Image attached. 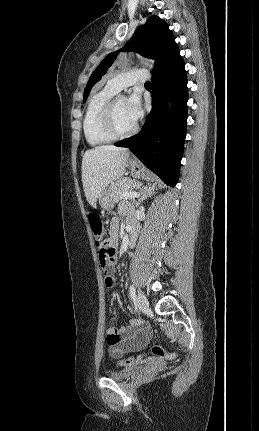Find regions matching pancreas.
Listing matches in <instances>:
<instances>
[{"mask_svg":"<svg viewBox=\"0 0 259 431\" xmlns=\"http://www.w3.org/2000/svg\"><path fill=\"white\" fill-rule=\"evenodd\" d=\"M141 184L130 178H122L115 182V184L111 187V198L113 202H118L122 199L121 194L125 191H128V189H133L136 187H139Z\"/></svg>","mask_w":259,"mask_h":431,"instance_id":"pancreas-1","label":"pancreas"}]
</instances>
